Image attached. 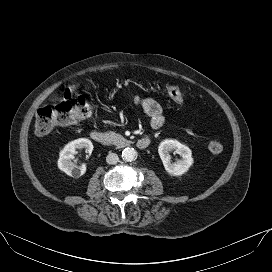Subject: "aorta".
I'll use <instances>...</instances> for the list:
<instances>
[{"instance_id": "762f6f07", "label": "aorta", "mask_w": 272, "mask_h": 272, "mask_svg": "<svg viewBox=\"0 0 272 272\" xmlns=\"http://www.w3.org/2000/svg\"><path fill=\"white\" fill-rule=\"evenodd\" d=\"M137 153L134 148L127 147L122 151V159L127 162L135 160Z\"/></svg>"}]
</instances>
